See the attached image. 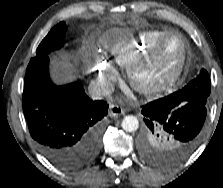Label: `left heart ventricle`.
Masks as SVG:
<instances>
[{
	"label": "left heart ventricle",
	"mask_w": 223,
	"mask_h": 188,
	"mask_svg": "<svg viewBox=\"0 0 223 188\" xmlns=\"http://www.w3.org/2000/svg\"><path fill=\"white\" fill-rule=\"evenodd\" d=\"M181 51L180 40L176 37L169 39L164 47L163 58L146 72L144 80L147 82L155 81L170 73L177 65Z\"/></svg>",
	"instance_id": "1"
}]
</instances>
